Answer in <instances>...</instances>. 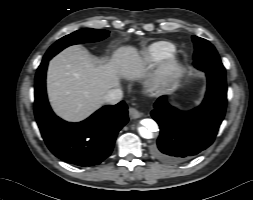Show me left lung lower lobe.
<instances>
[{
	"mask_svg": "<svg viewBox=\"0 0 253 200\" xmlns=\"http://www.w3.org/2000/svg\"><path fill=\"white\" fill-rule=\"evenodd\" d=\"M205 72L207 91L197 108L180 111L169 104L167 96H161L155 102L151 116L160 127V135L151 153L158 160L182 162L213 143L226 110V77L215 72Z\"/></svg>",
	"mask_w": 253,
	"mask_h": 200,
	"instance_id": "1",
	"label": "left lung lower lobe"
}]
</instances>
